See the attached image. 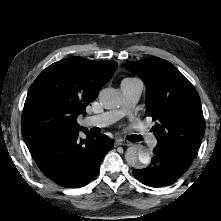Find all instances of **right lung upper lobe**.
Instances as JSON below:
<instances>
[{
    "instance_id": "right-lung-upper-lobe-1",
    "label": "right lung upper lobe",
    "mask_w": 221,
    "mask_h": 221,
    "mask_svg": "<svg viewBox=\"0 0 221 221\" xmlns=\"http://www.w3.org/2000/svg\"><path fill=\"white\" fill-rule=\"evenodd\" d=\"M115 61L70 57L43 70L31 85L21 127L29 149L79 130L77 117L113 76Z\"/></svg>"
}]
</instances>
